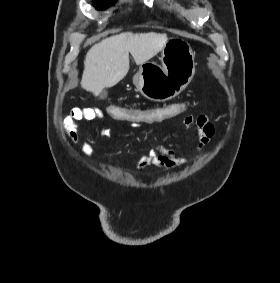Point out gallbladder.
<instances>
[{"label": "gallbladder", "mask_w": 280, "mask_h": 283, "mask_svg": "<svg viewBox=\"0 0 280 283\" xmlns=\"http://www.w3.org/2000/svg\"><path fill=\"white\" fill-rule=\"evenodd\" d=\"M107 97V91L106 90H103L100 94V98L101 99H105Z\"/></svg>", "instance_id": "1"}]
</instances>
